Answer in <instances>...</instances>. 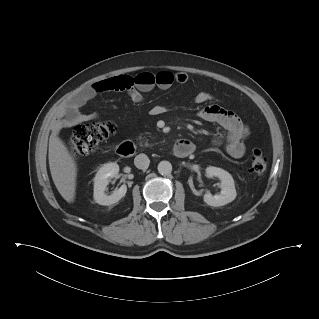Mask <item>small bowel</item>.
Listing matches in <instances>:
<instances>
[{
	"instance_id": "obj_1",
	"label": "small bowel",
	"mask_w": 319,
	"mask_h": 319,
	"mask_svg": "<svg viewBox=\"0 0 319 319\" xmlns=\"http://www.w3.org/2000/svg\"><path fill=\"white\" fill-rule=\"evenodd\" d=\"M131 79L132 77L127 75H114L103 78L87 87L63 106L53 125V131L58 132L62 128L97 119L98 115L96 113H82L80 109L87 101L98 94L125 90L134 103H140L143 101V92L150 91L154 86L165 90L174 82L183 84L187 81V75L182 72L173 74L163 71L156 74L154 85L148 87L132 86L125 89L123 87L124 83ZM211 99L212 96L205 91H200L195 95V102L198 104L207 103ZM164 110L163 106L157 105L151 109V113L160 115ZM197 115L201 120L215 123L223 130V133L213 140V145H223L232 158L238 159L244 156L246 152L244 141L249 135V128L234 112L216 104H209L201 108Z\"/></svg>"
}]
</instances>
